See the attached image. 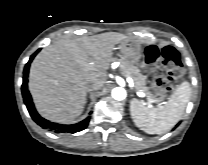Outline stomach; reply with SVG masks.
Wrapping results in <instances>:
<instances>
[{
  "instance_id": "stomach-1",
  "label": "stomach",
  "mask_w": 208,
  "mask_h": 165,
  "mask_svg": "<svg viewBox=\"0 0 208 165\" xmlns=\"http://www.w3.org/2000/svg\"><path fill=\"white\" fill-rule=\"evenodd\" d=\"M120 51L126 61L138 64L141 58V48L138 44L130 40L122 41L120 42Z\"/></svg>"
}]
</instances>
